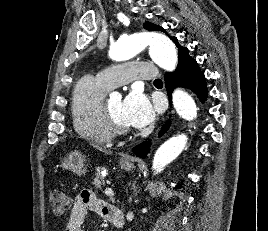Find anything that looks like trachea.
<instances>
[{
  "mask_svg": "<svg viewBox=\"0 0 268 231\" xmlns=\"http://www.w3.org/2000/svg\"><path fill=\"white\" fill-rule=\"evenodd\" d=\"M155 82H162L161 79H156Z\"/></svg>",
  "mask_w": 268,
  "mask_h": 231,
  "instance_id": "obj_1",
  "label": "trachea"
}]
</instances>
